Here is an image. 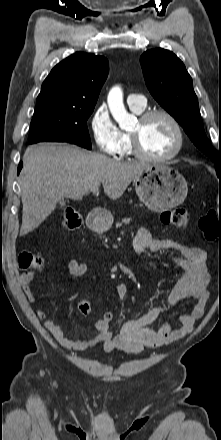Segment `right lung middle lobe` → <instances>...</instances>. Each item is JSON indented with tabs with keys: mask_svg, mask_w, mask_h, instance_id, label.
I'll return each mask as SVG.
<instances>
[{
	"mask_svg": "<svg viewBox=\"0 0 221 440\" xmlns=\"http://www.w3.org/2000/svg\"><path fill=\"white\" fill-rule=\"evenodd\" d=\"M93 110L94 107H77L52 101L36 104L30 125L29 144L57 141L91 149L86 122Z\"/></svg>",
	"mask_w": 221,
	"mask_h": 440,
	"instance_id": "right-lung-middle-lobe-1",
	"label": "right lung middle lobe"
}]
</instances>
